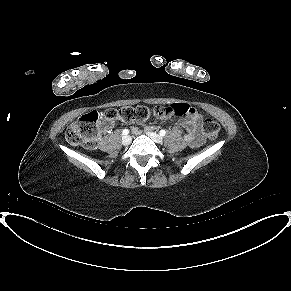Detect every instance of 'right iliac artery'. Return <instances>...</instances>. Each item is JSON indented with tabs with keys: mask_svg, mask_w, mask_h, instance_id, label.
I'll return each instance as SVG.
<instances>
[{
	"mask_svg": "<svg viewBox=\"0 0 291 291\" xmlns=\"http://www.w3.org/2000/svg\"><path fill=\"white\" fill-rule=\"evenodd\" d=\"M122 133H123V135H127V134H129V130H128V129H124V130L122 131Z\"/></svg>",
	"mask_w": 291,
	"mask_h": 291,
	"instance_id": "obj_1",
	"label": "right iliac artery"
}]
</instances>
